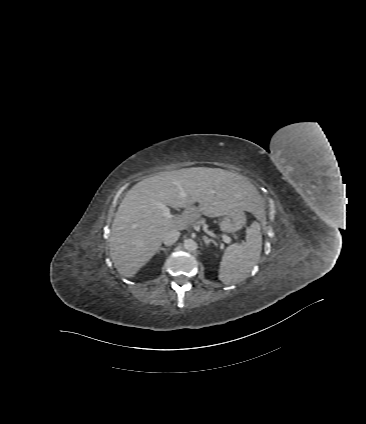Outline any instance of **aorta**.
Wrapping results in <instances>:
<instances>
[{"label": "aorta", "mask_w": 366, "mask_h": 424, "mask_svg": "<svg viewBox=\"0 0 366 424\" xmlns=\"http://www.w3.org/2000/svg\"><path fill=\"white\" fill-rule=\"evenodd\" d=\"M184 248L187 251H195L197 249V243L193 239H186L184 241Z\"/></svg>", "instance_id": "obj_1"}]
</instances>
